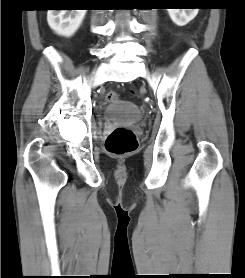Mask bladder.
Instances as JSON below:
<instances>
[{
  "label": "bladder",
  "mask_w": 245,
  "mask_h": 278,
  "mask_svg": "<svg viewBox=\"0 0 245 278\" xmlns=\"http://www.w3.org/2000/svg\"><path fill=\"white\" fill-rule=\"evenodd\" d=\"M103 119L106 122L132 126L141 120V113L138 107L131 102L114 100L107 106Z\"/></svg>",
  "instance_id": "obj_1"
}]
</instances>
